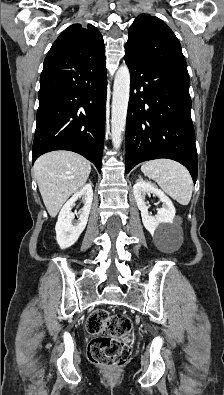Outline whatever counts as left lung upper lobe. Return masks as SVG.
I'll return each mask as SVG.
<instances>
[{"instance_id": "5c2ea615", "label": "left lung upper lobe", "mask_w": 224, "mask_h": 395, "mask_svg": "<svg viewBox=\"0 0 224 395\" xmlns=\"http://www.w3.org/2000/svg\"><path fill=\"white\" fill-rule=\"evenodd\" d=\"M125 53L189 76L177 37L162 20L149 14L139 15L130 26Z\"/></svg>"}]
</instances>
